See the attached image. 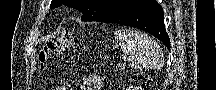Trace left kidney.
<instances>
[{"label":"left kidney","instance_id":"obj_1","mask_svg":"<svg viewBox=\"0 0 216 90\" xmlns=\"http://www.w3.org/2000/svg\"><path fill=\"white\" fill-rule=\"evenodd\" d=\"M133 90H139V88H137V86H136V88H133Z\"/></svg>","mask_w":216,"mask_h":90}]
</instances>
